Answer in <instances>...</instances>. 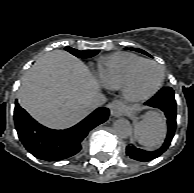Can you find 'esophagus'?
Listing matches in <instances>:
<instances>
[{
	"label": "esophagus",
	"mask_w": 194,
	"mask_h": 193,
	"mask_svg": "<svg viewBox=\"0 0 194 193\" xmlns=\"http://www.w3.org/2000/svg\"><path fill=\"white\" fill-rule=\"evenodd\" d=\"M108 107L110 109V114L115 117L120 116L124 109L122 102L119 100L113 101L108 105Z\"/></svg>",
	"instance_id": "1"
}]
</instances>
